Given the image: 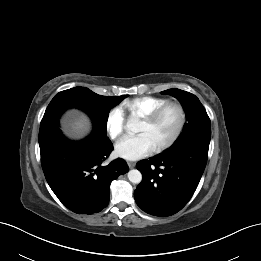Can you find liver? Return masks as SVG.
<instances>
[{
    "label": "liver",
    "instance_id": "1",
    "mask_svg": "<svg viewBox=\"0 0 261 261\" xmlns=\"http://www.w3.org/2000/svg\"><path fill=\"white\" fill-rule=\"evenodd\" d=\"M89 128V120L85 116H81L72 124V133L75 136H82L89 131Z\"/></svg>",
    "mask_w": 261,
    "mask_h": 261
}]
</instances>
